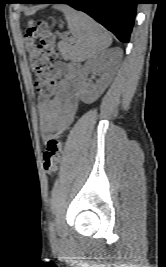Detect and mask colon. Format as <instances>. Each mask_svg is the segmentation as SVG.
<instances>
[{"instance_id": "5ec220e1", "label": "colon", "mask_w": 166, "mask_h": 267, "mask_svg": "<svg viewBox=\"0 0 166 267\" xmlns=\"http://www.w3.org/2000/svg\"><path fill=\"white\" fill-rule=\"evenodd\" d=\"M58 33L49 28L44 21H38L28 27L25 34V47L29 63L37 75L35 88L42 102L50 101L54 96L56 76L51 72L52 61L57 54L54 50ZM63 153V142L60 135L47 142L43 154V167L48 175H53L60 164Z\"/></svg>"}]
</instances>
